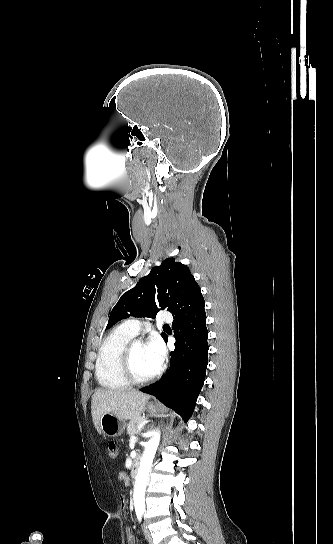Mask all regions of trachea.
Listing matches in <instances>:
<instances>
[{
    "mask_svg": "<svg viewBox=\"0 0 333 544\" xmlns=\"http://www.w3.org/2000/svg\"><path fill=\"white\" fill-rule=\"evenodd\" d=\"M164 327H169V325H168V324H165Z\"/></svg>",
    "mask_w": 333,
    "mask_h": 544,
    "instance_id": "obj_1",
    "label": "trachea"
}]
</instances>
